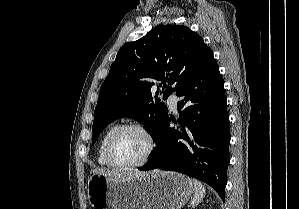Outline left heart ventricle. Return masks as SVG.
Here are the masks:
<instances>
[{"instance_id":"1","label":"left heart ventricle","mask_w":299,"mask_h":209,"mask_svg":"<svg viewBox=\"0 0 299 209\" xmlns=\"http://www.w3.org/2000/svg\"><path fill=\"white\" fill-rule=\"evenodd\" d=\"M147 149L144 136L135 130H126L113 143L112 160L119 165H127L140 160Z\"/></svg>"}]
</instances>
